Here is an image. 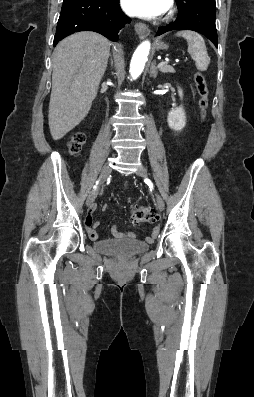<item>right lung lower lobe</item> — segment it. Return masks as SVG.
Masks as SVG:
<instances>
[{
    "label": "right lung lower lobe",
    "mask_w": 254,
    "mask_h": 397,
    "mask_svg": "<svg viewBox=\"0 0 254 397\" xmlns=\"http://www.w3.org/2000/svg\"><path fill=\"white\" fill-rule=\"evenodd\" d=\"M119 0H63L53 45L79 31H95L112 41L130 19L122 12Z\"/></svg>",
    "instance_id": "right-lung-lower-lobe-1"
}]
</instances>
